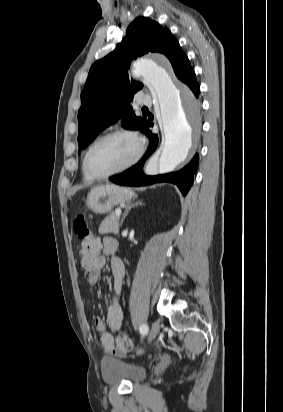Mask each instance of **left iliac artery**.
Returning <instances> with one entry per match:
<instances>
[{
  "label": "left iliac artery",
  "instance_id": "obj_1",
  "mask_svg": "<svg viewBox=\"0 0 283 412\" xmlns=\"http://www.w3.org/2000/svg\"><path fill=\"white\" fill-rule=\"evenodd\" d=\"M148 332V326L146 324H142L140 326V333L142 334V336H145Z\"/></svg>",
  "mask_w": 283,
  "mask_h": 412
}]
</instances>
